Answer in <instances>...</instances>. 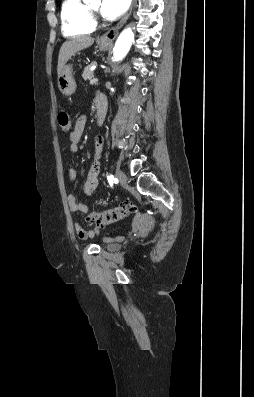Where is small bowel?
<instances>
[{
  "mask_svg": "<svg viewBox=\"0 0 254 397\" xmlns=\"http://www.w3.org/2000/svg\"><path fill=\"white\" fill-rule=\"evenodd\" d=\"M87 123L86 115H80L74 124L73 130L70 133L69 140V150L71 153H77L79 150V142L84 132L85 126ZM103 150V139L98 136L95 139V153L92 164L87 174V179L84 183V192L87 195L93 194L98 186H99V174H100V159ZM70 181L74 182L77 179V172L73 167H70L69 172ZM69 208L72 212H82L87 213L89 211L88 206L83 203L78 202L76 197L73 194L68 195L67 198ZM145 220L143 217L139 216L134 224L133 231H137L141 226H143ZM74 230L79 239L85 240L88 238H93L95 235L99 233L97 228L94 229H84L79 223H74ZM121 237L117 238L120 239Z\"/></svg>",
  "mask_w": 254,
  "mask_h": 397,
  "instance_id": "c3829d8e",
  "label": "small bowel"
}]
</instances>
